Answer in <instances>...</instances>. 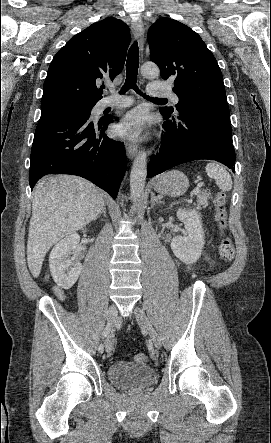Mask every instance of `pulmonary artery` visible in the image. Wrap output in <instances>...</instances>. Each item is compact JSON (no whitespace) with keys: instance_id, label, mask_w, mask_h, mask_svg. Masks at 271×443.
<instances>
[{"instance_id":"1","label":"pulmonary artery","mask_w":271,"mask_h":443,"mask_svg":"<svg viewBox=\"0 0 271 443\" xmlns=\"http://www.w3.org/2000/svg\"><path fill=\"white\" fill-rule=\"evenodd\" d=\"M153 95L156 96H167L169 97L175 104L179 102L178 96L173 93L171 90L165 91V92H151ZM134 100L132 97L119 95L112 91L109 96L104 97L103 99L99 100L95 107L94 112L99 113L105 109L108 108H122L127 107L133 104Z\"/></svg>"}]
</instances>
